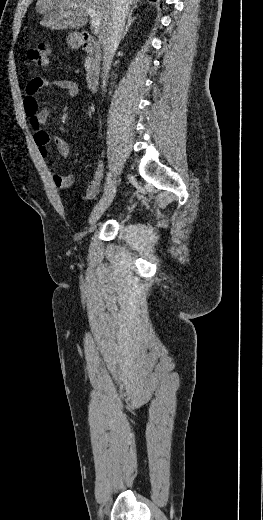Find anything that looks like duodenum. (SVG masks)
I'll use <instances>...</instances> for the list:
<instances>
[{
  "label": "duodenum",
  "instance_id": "obj_1",
  "mask_svg": "<svg viewBox=\"0 0 263 520\" xmlns=\"http://www.w3.org/2000/svg\"><path fill=\"white\" fill-rule=\"evenodd\" d=\"M82 48L88 56L85 81L88 89L96 91L100 78L102 52L100 46L88 33H83L81 37Z\"/></svg>",
  "mask_w": 263,
  "mask_h": 520
}]
</instances>
